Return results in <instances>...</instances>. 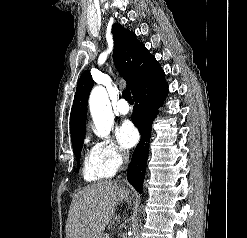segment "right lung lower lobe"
Masks as SVG:
<instances>
[{"label": "right lung lower lobe", "mask_w": 247, "mask_h": 238, "mask_svg": "<svg viewBox=\"0 0 247 238\" xmlns=\"http://www.w3.org/2000/svg\"><path fill=\"white\" fill-rule=\"evenodd\" d=\"M167 93L165 74L161 71L133 95L136 104L131 118L141 134V139L133 152L127 179L140 193L145 177L152 122Z\"/></svg>", "instance_id": "right-lung-lower-lobe-1"}]
</instances>
